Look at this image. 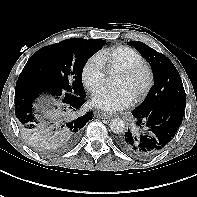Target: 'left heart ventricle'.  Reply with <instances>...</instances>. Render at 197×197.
I'll return each mask as SVG.
<instances>
[{
  "mask_svg": "<svg viewBox=\"0 0 197 197\" xmlns=\"http://www.w3.org/2000/svg\"><path fill=\"white\" fill-rule=\"evenodd\" d=\"M145 82L144 75H141L135 79H129L123 74L120 75L117 86L126 87L130 92L135 95L139 92Z\"/></svg>",
  "mask_w": 197,
  "mask_h": 197,
  "instance_id": "b2bd125f",
  "label": "left heart ventricle"
}]
</instances>
